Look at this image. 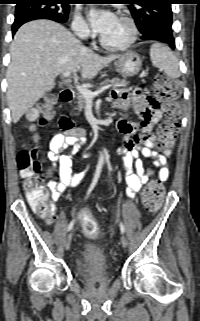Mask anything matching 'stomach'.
<instances>
[{"label":"stomach","mask_w":200,"mask_h":321,"mask_svg":"<svg viewBox=\"0 0 200 321\" xmlns=\"http://www.w3.org/2000/svg\"><path fill=\"white\" fill-rule=\"evenodd\" d=\"M141 66L142 60L140 55L134 51L124 53L114 63L115 70L125 78L137 75Z\"/></svg>","instance_id":"1"}]
</instances>
